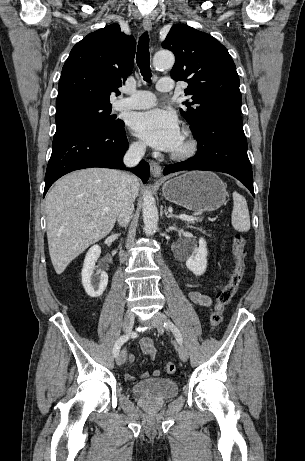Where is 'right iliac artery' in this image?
Instances as JSON below:
<instances>
[{
  "label": "right iliac artery",
  "mask_w": 305,
  "mask_h": 461,
  "mask_svg": "<svg viewBox=\"0 0 305 461\" xmlns=\"http://www.w3.org/2000/svg\"><path fill=\"white\" fill-rule=\"evenodd\" d=\"M129 339V335L126 334V335H122L120 336L115 345H114V348H113V354L114 356H117L119 354V351H120V348L121 346Z\"/></svg>",
  "instance_id": "82829eb1"
}]
</instances>
